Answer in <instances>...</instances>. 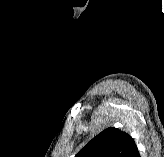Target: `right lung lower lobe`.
<instances>
[{
  "label": "right lung lower lobe",
  "instance_id": "98d812e1",
  "mask_svg": "<svg viewBox=\"0 0 164 157\" xmlns=\"http://www.w3.org/2000/svg\"><path fill=\"white\" fill-rule=\"evenodd\" d=\"M130 157H140V154L137 148L134 150V152L131 154Z\"/></svg>",
  "mask_w": 164,
  "mask_h": 157
}]
</instances>
